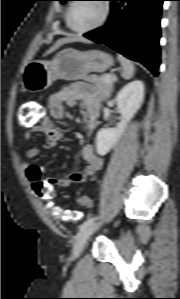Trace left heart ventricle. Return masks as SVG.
I'll return each instance as SVG.
<instances>
[{
    "label": "left heart ventricle",
    "instance_id": "b2bd125f",
    "mask_svg": "<svg viewBox=\"0 0 180 299\" xmlns=\"http://www.w3.org/2000/svg\"><path fill=\"white\" fill-rule=\"evenodd\" d=\"M101 15L102 6L100 2H77L71 12V24L77 29L87 28L97 23Z\"/></svg>",
    "mask_w": 180,
    "mask_h": 299
}]
</instances>
